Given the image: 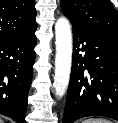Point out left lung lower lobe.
Masks as SVG:
<instances>
[{
    "instance_id": "left-lung-lower-lobe-1",
    "label": "left lung lower lobe",
    "mask_w": 118,
    "mask_h": 123,
    "mask_svg": "<svg viewBox=\"0 0 118 123\" xmlns=\"http://www.w3.org/2000/svg\"><path fill=\"white\" fill-rule=\"evenodd\" d=\"M88 116L118 121V40L73 28L72 71L62 123Z\"/></svg>"
}]
</instances>
